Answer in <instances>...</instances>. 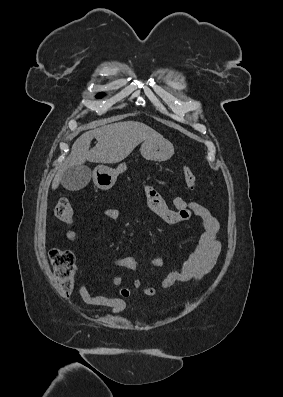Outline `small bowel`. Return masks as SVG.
<instances>
[{
  "label": "small bowel",
  "instance_id": "small-bowel-1",
  "mask_svg": "<svg viewBox=\"0 0 283 397\" xmlns=\"http://www.w3.org/2000/svg\"><path fill=\"white\" fill-rule=\"evenodd\" d=\"M151 181L152 178L148 177L143 181L142 185L150 209L162 221L169 225H176L187 221L193 214L200 219L202 225V233L195 250L181 266L172 268L168 272L161 283V287L166 289L176 282L196 281L211 271L220 254L221 243L217 237L219 222L207 208L197 202H188L180 196L173 197L174 209L170 208L164 197L150 184ZM101 216L105 220L114 221L119 218L120 211L114 207L106 208L102 211ZM66 239L68 241L77 240V231H67ZM150 264L153 267H160L164 264V259L156 257L150 261ZM113 265L127 270H136L138 267L136 259L132 256L117 259L113 262ZM111 282L119 287V297L92 295L86 284L80 285L79 295L87 305L95 308H109L111 314L116 315L125 310L126 302L124 299L130 297L137 290L142 288L143 293L148 296L156 294L154 287H142L140 280H134L130 287L123 286L124 279L121 276H114Z\"/></svg>",
  "mask_w": 283,
  "mask_h": 397
}]
</instances>
